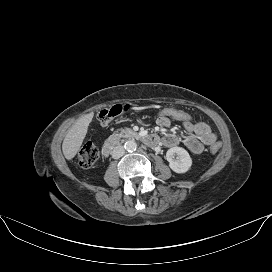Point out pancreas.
Here are the masks:
<instances>
[{"label": "pancreas", "instance_id": "cf45deb5", "mask_svg": "<svg viewBox=\"0 0 272 272\" xmlns=\"http://www.w3.org/2000/svg\"><path fill=\"white\" fill-rule=\"evenodd\" d=\"M134 132L130 128H125L120 130V136L127 137L129 135H133Z\"/></svg>", "mask_w": 272, "mask_h": 272}]
</instances>
